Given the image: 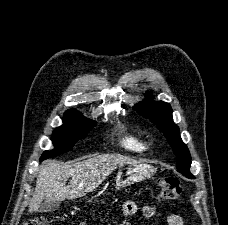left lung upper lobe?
Listing matches in <instances>:
<instances>
[{
  "label": "left lung upper lobe",
  "instance_id": "obj_1",
  "mask_svg": "<svg viewBox=\"0 0 228 225\" xmlns=\"http://www.w3.org/2000/svg\"><path fill=\"white\" fill-rule=\"evenodd\" d=\"M133 108L140 115L149 118L164 133L176 155L177 170L185 177L194 179L189 170L191 167V156L187 146L181 140L178 126L173 122L171 106L163 101H153L147 98L136 104Z\"/></svg>",
  "mask_w": 228,
  "mask_h": 225
}]
</instances>
